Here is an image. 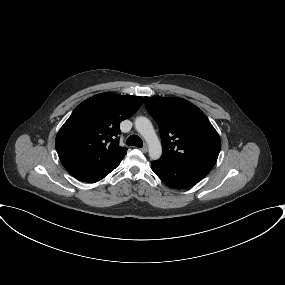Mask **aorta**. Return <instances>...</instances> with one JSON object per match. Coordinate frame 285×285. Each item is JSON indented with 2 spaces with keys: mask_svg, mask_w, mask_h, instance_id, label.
<instances>
[{
  "mask_svg": "<svg viewBox=\"0 0 285 285\" xmlns=\"http://www.w3.org/2000/svg\"><path fill=\"white\" fill-rule=\"evenodd\" d=\"M134 124L137 132L141 134L148 144L150 158L152 160L159 159L162 154V146L151 121L146 117L140 116L135 119Z\"/></svg>",
  "mask_w": 285,
  "mask_h": 285,
  "instance_id": "1",
  "label": "aorta"
}]
</instances>
